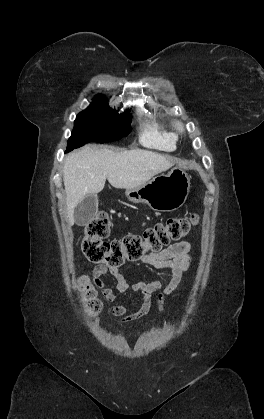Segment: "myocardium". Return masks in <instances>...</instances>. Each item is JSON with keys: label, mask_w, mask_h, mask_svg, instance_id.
<instances>
[{"label": "myocardium", "mask_w": 264, "mask_h": 419, "mask_svg": "<svg viewBox=\"0 0 264 419\" xmlns=\"http://www.w3.org/2000/svg\"><path fill=\"white\" fill-rule=\"evenodd\" d=\"M171 126L177 134H182L185 131L184 123L178 119L173 120Z\"/></svg>", "instance_id": "f54148a6"}]
</instances>
